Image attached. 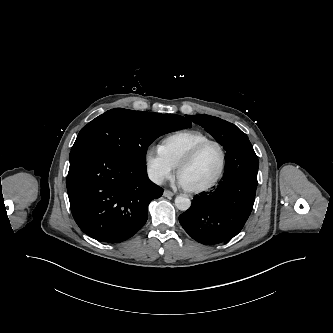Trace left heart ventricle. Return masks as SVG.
<instances>
[{
    "mask_svg": "<svg viewBox=\"0 0 333 333\" xmlns=\"http://www.w3.org/2000/svg\"><path fill=\"white\" fill-rule=\"evenodd\" d=\"M220 163V153L217 147H205L197 158L180 174V180L187 187H198L210 181Z\"/></svg>",
    "mask_w": 333,
    "mask_h": 333,
    "instance_id": "obj_1",
    "label": "left heart ventricle"
}]
</instances>
